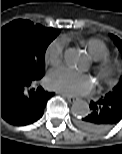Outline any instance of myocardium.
<instances>
[{
  "mask_svg": "<svg viewBox=\"0 0 122 154\" xmlns=\"http://www.w3.org/2000/svg\"><path fill=\"white\" fill-rule=\"evenodd\" d=\"M92 69L102 83H109L116 74V64L108 58L94 61Z\"/></svg>",
  "mask_w": 122,
  "mask_h": 154,
  "instance_id": "myocardium-1",
  "label": "myocardium"
}]
</instances>
